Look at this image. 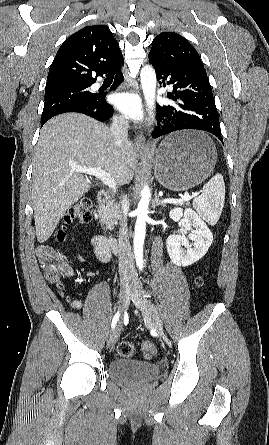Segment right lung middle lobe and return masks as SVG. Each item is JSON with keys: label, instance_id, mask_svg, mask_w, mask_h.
<instances>
[{"label": "right lung middle lobe", "instance_id": "obj_1", "mask_svg": "<svg viewBox=\"0 0 269 445\" xmlns=\"http://www.w3.org/2000/svg\"><path fill=\"white\" fill-rule=\"evenodd\" d=\"M90 84L65 85L45 89V102L41 116V124L62 110L74 106H86L97 94L88 91Z\"/></svg>", "mask_w": 269, "mask_h": 445}]
</instances>
